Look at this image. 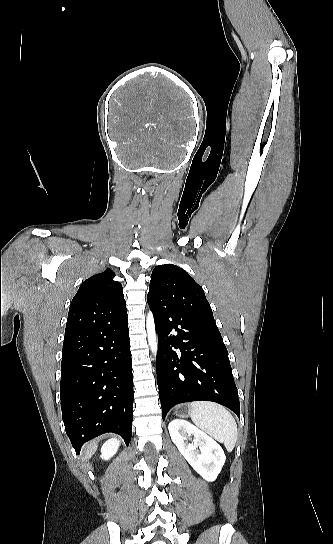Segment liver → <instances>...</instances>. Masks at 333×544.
Returning <instances> with one entry per match:
<instances>
[{
    "label": "liver",
    "mask_w": 333,
    "mask_h": 544,
    "mask_svg": "<svg viewBox=\"0 0 333 544\" xmlns=\"http://www.w3.org/2000/svg\"><path fill=\"white\" fill-rule=\"evenodd\" d=\"M97 446H98V440H94L91 443H89L88 445H86V447L84 448V451H83L84 454H85L86 459L91 458V456L96 451Z\"/></svg>",
    "instance_id": "1"
}]
</instances>
